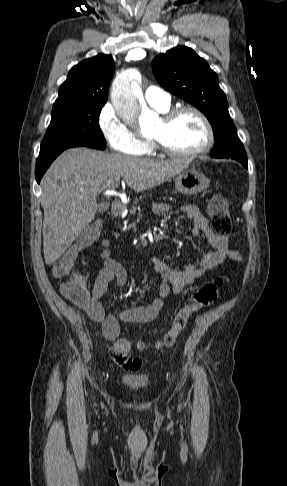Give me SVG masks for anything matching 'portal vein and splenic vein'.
Here are the masks:
<instances>
[{"label":"portal vein and splenic vein","mask_w":287,"mask_h":486,"mask_svg":"<svg viewBox=\"0 0 287 486\" xmlns=\"http://www.w3.org/2000/svg\"><path fill=\"white\" fill-rule=\"evenodd\" d=\"M119 185V182H115L113 183L112 185V189H109L105 192L106 195H110V194H113L114 193V189Z\"/></svg>","instance_id":"18ae733b"}]
</instances>
